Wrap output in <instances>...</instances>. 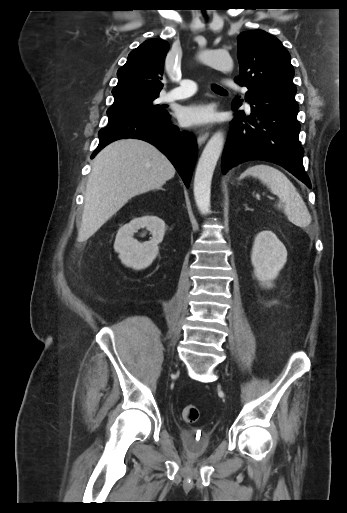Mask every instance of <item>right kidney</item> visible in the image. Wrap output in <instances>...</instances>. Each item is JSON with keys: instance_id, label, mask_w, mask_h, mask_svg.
I'll return each instance as SVG.
<instances>
[{"instance_id": "right-kidney-1", "label": "right kidney", "mask_w": 347, "mask_h": 513, "mask_svg": "<svg viewBox=\"0 0 347 513\" xmlns=\"http://www.w3.org/2000/svg\"><path fill=\"white\" fill-rule=\"evenodd\" d=\"M146 228L151 232L149 241L139 242L134 239V233ZM165 234V222L156 216L134 218L122 226L116 235L114 250L119 253V259L127 267L141 270L148 267L159 253L158 244Z\"/></svg>"}]
</instances>
